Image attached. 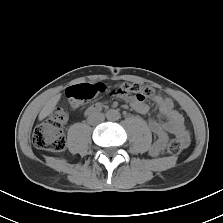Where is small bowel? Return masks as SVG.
Returning a JSON list of instances; mask_svg holds the SVG:
<instances>
[{"label": "small bowel", "instance_id": "small-bowel-1", "mask_svg": "<svg viewBox=\"0 0 223 223\" xmlns=\"http://www.w3.org/2000/svg\"><path fill=\"white\" fill-rule=\"evenodd\" d=\"M126 101L138 113L145 114L149 111L148 104L135 96L126 97ZM153 101L157 105L159 117L163 118L164 121H158L156 119L149 120V127L155 135V140L150 146L151 155H161L167 146L170 136H175L183 146H187L190 141V135L185 128L183 116L175 109L167 108L164 100H161L159 95L154 96ZM102 107V103L93 104L87 109V113L91 110L98 112Z\"/></svg>", "mask_w": 223, "mask_h": 223}]
</instances>
